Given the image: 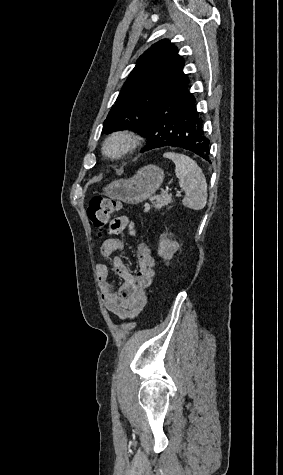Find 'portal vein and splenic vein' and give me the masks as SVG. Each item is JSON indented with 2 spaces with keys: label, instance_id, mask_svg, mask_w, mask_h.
<instances>
[{
  "label": "portal vein and splenic vein",
  "instance_id": "18ae733b",
  "mask_svg": "<svg viewBox=\"0 0 283 475\" xmlns=\"http://www.w3.org/2000/svg\"><path fill=\"white\" fill-rule=\"evenodd\" d=\"M175 193H176V194H175V197H176V198H179V199L182 198V196H183V195H182V194H183V191H182V190H177Z\"/></svg>",
  "mask_w": 283,
  "mask_h": 475
}]
</instances>
